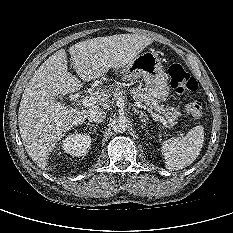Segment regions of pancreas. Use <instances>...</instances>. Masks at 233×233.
Instances as JSON below:
<instances>
[{
  "instance_id": "1",
  "label": "pancreas",
  "mask_w": 233,
  "mask_h": 233,
  "mask_svg": "<svg viewBox=\"0 0 233 233\" xmlns=\"http://www.w3.org/2000/svg\"><path fill=\"white\" fill-rule=\"evenodd\" d=\"M117 90L120 91L121 87H119ZM131 94L135 100L142 102L148 109L150 110L154 109L158 111L160 114H164L166 121L169 124H173L174 120L178 119V117L180 116V112H178L176 108L174 107L164 108L163 106H159L158 102L153 97H151V95L147 93H143L138 88H133L131 90Z\"/></svg>"
}]
</instances>
